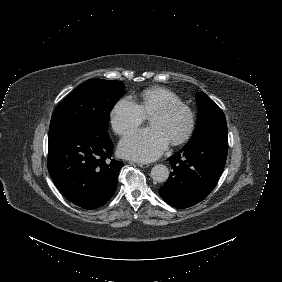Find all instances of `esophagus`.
Masks as SVG:
<instances>
[{"mask_svg":"<svg viewBox=\"0 0 282 282\" xmlns=\"http://www.w3.org/2000/svg\"><path fill=\"white\" fill-rule=\"evenodd\" d=\"M137 165L141 168H147L150 166L148 163H142V162H138Z\"/></svg>","mask_w":282,"mask_h":282,"instance_id":"esophagus-1","label":"esophagus"}]
</instances>
